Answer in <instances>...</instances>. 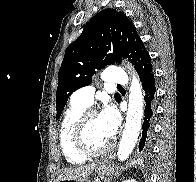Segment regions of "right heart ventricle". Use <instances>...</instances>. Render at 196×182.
I'll list each match as a JSON object with an SVG mask.
<instances>
[{
    "label": "right heart ventricle",
    "mask_w": 196,
    "mask_h": 182,
    "mask_svg": "<svg viewBox=\"0 0 196 182\" xmlns=\"http://www.w3.org/2000/svg\"><path fill=\"white\" fill-rule=\"evenodd\" d=\"M86 110V106L71 101L60 123L59 141L62 153L66 161L73 165H79L86 161V157L78 153L73 147L72 131L79 116Z\"/></svg>",
    "instance_id": "1"
}]
</instances>
